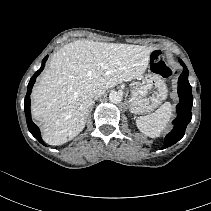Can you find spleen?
I'll return each instance as SVG.
<instances>
[{"instance_id": "1", "label": "spleen", "mask_w": 211, "mask_h": 211, "mask_svg": "<svg viewBox=\"0 0 211 211\" xmlns=\"http://www.w3.org/2000/svg\"><path fill=\"white\" fill-rule=\"evenodd\" d=\"M172 116V105L164 103L159 109L147 116L136 119L138 129L150 137H159L166 129Z\"/></svg>"}]
</instances>
